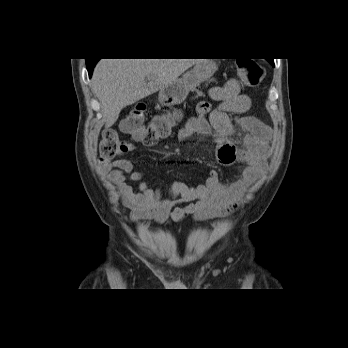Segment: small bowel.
Segmentation results:
<instances>
[{
	"mask_svg": "<svg viewBox=\"0 0 348 348\" xmlns=\"http://www.w3.org/2000/svg\"><path fill=\"white\" fill-rule=\"evenodd\" d=\"M208 95L218 104L213 107L208 101L200 102L196 116L187 119L180 128L179 139L187 141L195 134L206 135L213 131L219 162L223 165L239 163L244 168L230 183L222 182L213 170L204 183L196 187L176 181L169 187L161 185L152 189L144 180V171L136 170L131 160L119 158L106 162L101 169L117 187L123 206L130 210L132 222L144 226L145 219L165 224L189 215L199 221L224 217L239 206L246 190L264 173L272 131L257 118L242 116L251 107L250 97L240 92L235 79L211 87ZM229 114L239 117L231 120ZM237 127L245 131L240 148L230 140ZM134 149V145H129L127 152ZM127 181L138 182L139 191L135 192ZM180 204L185 205L178 207Z\"/></svg>",
	"mask_w": 348,
	"mask_h": 348,
	"instance_id": "small-bowel-1",
	"label": "small bowel"
}]
</instances>
